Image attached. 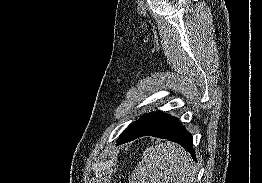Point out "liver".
Returning a JSON list of instances; mask_svg holds the SVG:
<instances>
[{
  "instance_id": "6515ba94",
  "label": "liver",
  "mask_w": 262,
  "mask_h": 183,
  "mask_svg": "<svg viewBox=\"0 0 262 183\" xmlns=\"http://www.w3.org/2000/svg\"><path fill=\"white\" fill-rule=\"evenodd\" d=\"M196 168L180 145L163 142L147 148L129 183H192Z\"/></svg>"
}]
</instances>
